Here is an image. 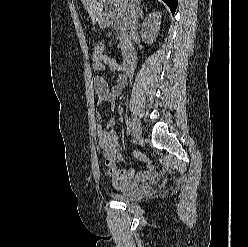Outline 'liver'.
Returning a JSON list of instances; mask_svg holds the SVG:
<instances>
[{
    "label": "liver",
    "instance_id": "6515ba94",
    "mask_svg": "<svg viewBox=\"0 0 248 247\" xmlns=\"http://www.w3.org/2000/svg\"><path fill=\"white\" fill-rule=\"evenodd\" d=\"M109 3L113 4L115 8L121 13L125 14L126 3L125 0H107ZM137 5L141 0H133ZM84 7L86 8L89 16L91 17L92 23L96 24L99 18L102 16L103 5L102 2L97 0H81Z\"/></svg>",
    "mask_w": 248,
    "mask_h": 247
}]
</instances>
